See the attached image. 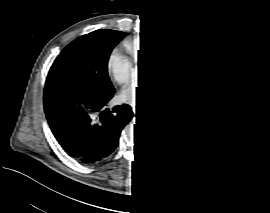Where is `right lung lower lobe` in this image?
<instances>
[{
  "label": "right lung lower lobe",
  "instance_id": "1",
  "mask_svg": "<svg viewBox=\"0 0 270 213\" xmlns=\"http://www.w3.org/2000/svg\"><path fill=\"white\" fill-rule=\"evenodd\" d=\"M115 91L100 93L84 87H45L44 110L64 151L83 164H95L117 147L121 130L134 116L128 104L112 109Z\"/></svg>",
  "mask_w": 270,
  "mask_h": 213
}]
</instances>
